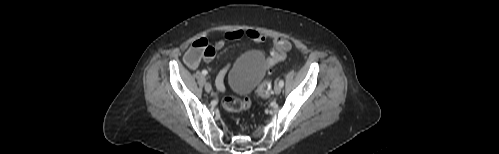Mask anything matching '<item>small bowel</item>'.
<instances>
[{
	"mask_svg": "<svg viewBox=\"0 0 499 154\" xmlns=\"http://www.w3.org/2000/svg\"><path fill=\"white\" fill-rule=\"evenodd\" d=\"M241 38H249L255 42H261L264 40V37L262 34L255 30H233V31H228L226 32L221 39H219L215 45L214 48L215 50H221L224 48L225 44L230 41H235L239 40ZM198 63L190 65L192 68L197 67ZM230 68V64H227L224 66L218 73L217 75V86L219 90L224 91L225 86H224V77L227 73V71Z\"/></svg>",
	"mask_w": 499,
	"mask_h": 154,
	"instance_id": "c3829d8e",
	"label": "small bowel"
}]
</instances>
